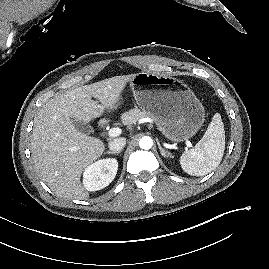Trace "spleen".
<instances>
[{"instance_id": "1", "label": "spleen", "mask_w": 269, "mask_h": 269, "mask_svg": "<svg viewBox=\"0 0 269 269\" xmlns=\"http://www.w3.org/2000/svg\"><path fill=\"white\" fill-rule=\"evenodd\" d=\"M224 150V124L220 114L216 113L195 148L186 150L182 154L180 165L183 171L189 175L204 176L219 166Z\"/></svg>"}]
</instances>
